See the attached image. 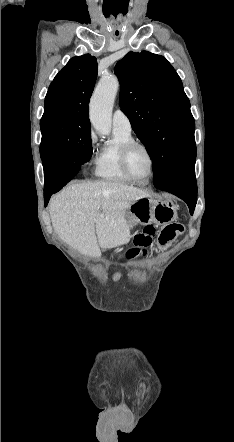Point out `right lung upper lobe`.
I'll return each instance as SVG.
<instances>
[{
    "label": "right lung upper lobe",
    "mask_w": 234,
    "mask_h": 442,
    "mask_svg": "<svg viewBox=\"0 0 234 442\" xmlns=\"http://www.w3.org/2000/svg\"><path fill=\"white\" fill-rule=\"evenodd\" d=\"M97 78V60L90 54L73 57L56 75L45 97L42 118L71 116L88 120V104Z\"/></svg>",
    "instance_id": "1"
}]
</instances>
